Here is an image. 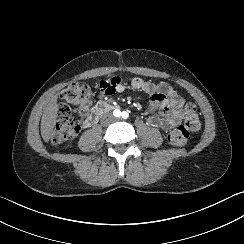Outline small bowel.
<instances>
[{
	"mask_svg": "<svg viewBox=\"0 0 244 244\" xmlns=\"http://www.w3.org/2000/svg\"><path fill=\"white\" fill-rule=\"evenodd\" d=\"M133 89L142 90L150 94V102L146 122L149 126L162 130H169L180 122V107L183 99L178 92L164 82H152L140 77L131 80ZM98 99L109 97L115 93H122L127 89V83L120 77H113L98 84Z\"/></svg>",
	"mask_w": 244,
	"mask_h": 244,
	"instance_id": "small-bowel-1",
	"label": "small bowel"
}]
</instances>
